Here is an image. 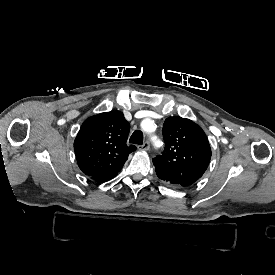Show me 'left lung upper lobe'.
I'll use <instances>...</instances> for the list:
<instances>
[{
	"mask_svg": "<svg viewBox=\"0 0 275 275\" xmlns=\"http://www.w3.org/2000/svg\"><path fill=\"white\" fill-rule=\"evenodd\" d=\"M165 149L153 159L154 165L171 176L179 186H189L206 171L211 148L202 128L182 117H168L163 125Z\"/></svg>",
	"mask_w": 275,
	"mask_h": 275,
	"instance_id": "obj_1",
	"label": "left lung upper lobe"
}]
</instances>
